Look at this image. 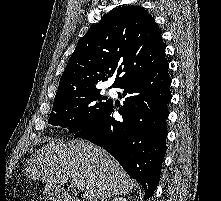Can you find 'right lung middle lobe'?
<instances>
[{
	"label": "right lung middle lobe",
	"instance_id": "right-lung-middle-lobe-1",
	"mask_svg": "<svg viewBox=\"0 0 221 201\" xmlns=\"http://www.w3.org/2000/svg\"><path fill=\"white\" fill-rule=\"evenodd\" d=\"M100 91L94 88L55 98L49 124L66 127L70 132L92 124L112 103Z\"/></svg>",
	"mask_w": 221,
	"mask_h": 201
}]
</instances>
